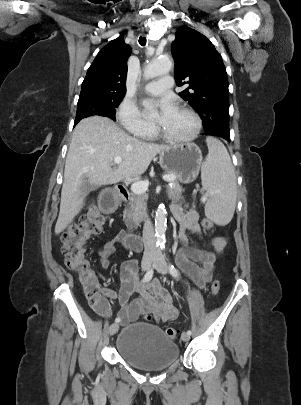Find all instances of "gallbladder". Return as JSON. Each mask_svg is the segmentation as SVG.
Wrapping results in <instances>:
<instances>
[{
    "mask_svg": "<svg viewBox=\"0 0 301 405\" xmlns=\"http://www.w3.org/2000/svg\"><path fill=\"white\" fill-rule=\"evenodd\" d=\"M97 187V185L89 184L87 181H84L80 187L81 197L85 198L92 190L96 189Z\"/></svg>",
    "mask_w": 301,
    "mask_h": 405,
    "instance_id": "gallbladder-1",
    "label": "gallbladder"
}]
</instances>
